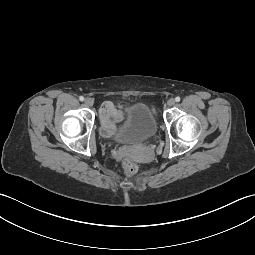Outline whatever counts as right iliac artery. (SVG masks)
Returning a JSON list of instances; mask_svg holds the SVG:
<instances>
[{
    "instance_id": "82829eb1",
    "label": "right iliac artery",
    "mask_w": 255,
    "mask_h": 255,
    "mask_svg": "<svg viewBox=\"0 0 255 255\" xmlns=\"http://www.w3.org/2000/svg\"><path fill=\"white\" fill-rule=\"evenodd\" d=\"M79 100H80V101H84V97H83V96H80V97H79Z\"/></svg>"
}]
</instances>
